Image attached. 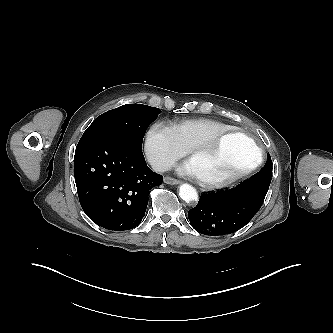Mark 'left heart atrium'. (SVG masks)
I'll return each mask as SVG.
<instances>
[{"label":"left heart atrium","mask_w":333,"mask_h":333,"mask_svg":"<svg viewBox=\"0 0 333 333\" xmlns=\"http://www.w3.org/2000/svg\"><path fill=\"white\" fill-rule=\"evenodd\" d=\"M180 171L182 173L188 174V175H196L195 171L190 163V161L186 162L181 168Z\"/></svg>","instance_id":"obj_1"}]
</instances>
